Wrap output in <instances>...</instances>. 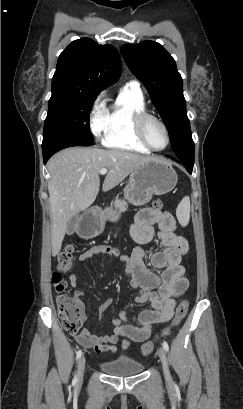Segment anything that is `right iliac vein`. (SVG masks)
Masks as SVG:
<instances>
[{
  "instance_id": "right-iliac-vein-1",
  "label": "right iliac vein",
  "mask_w": 243,
  "mask_h": 409,
  "mask_svg": "<svg viewBox=\"0 0 243 409\" xmlns=\"http://www.w3.org/2000/svg\"><path fill=\"white\" fill-rule=\"evenodd\" d=\"M84 369H85V357H81L79 360L78 369H77V378L79 381H81L83 378Z\"/></svg>"
}]
</instances>
